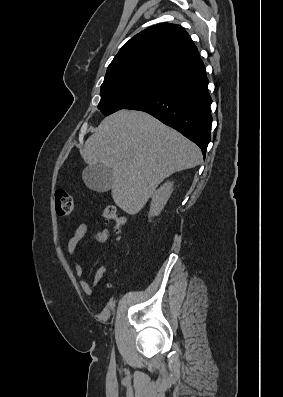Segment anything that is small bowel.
I'll return each mask as SVG.
<instances>
[{"instance_id":"small-bowel-1","label":"small bowel","mask_w":283,"mask_h":397,"mask_svg":"<svg viewBox=\"0 0 283 397\" xmlns=\"http://www.w3.org/2000/svg\"><path fill=\"white\" fill-rule=\"evenodd\" d=\"M88 231L87 224L84 222H81L78 224L74 234L72 237L68 240L67 246H66V251L69 256H72L75 253V250L78 246V244L81 242V240L85 237L86 233ZM109 238V231L106 228H101L97 230L94 233V239L99 242V243H104L108 240ZM105 268L100 267L95 275H94V288L97 289L99 285L101 284L104 274H105ZM83 267L82 265L77 262L75 265V274L79 278V284L83 290V292L89 296L92 297L94 296V288L83 278Z\"/></svg>"}]
</instances>
